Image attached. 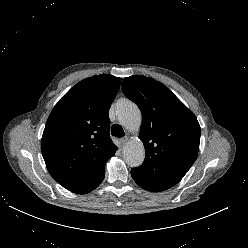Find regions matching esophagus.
<instances>
[{
	"instance_id": "1",
	"label": "esophagus",
	"mask_w": 248,
	"mask_h": 248,
	"mask_svg": "<svg viewBox=\"0 0 248 248\" xmlns=\"http://www.w3.org/2000/svg\"><path fill=\"white\" fill-rule=\"evenodd\" d=\"M128 140H129V138H128L127 136L121 138V139L119 140L121 147H123V146L127 143Z\"/></svg>"
}]
</instances>
